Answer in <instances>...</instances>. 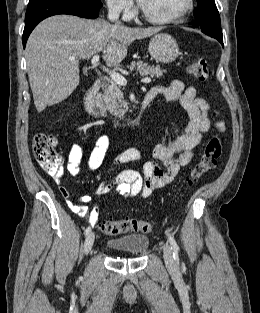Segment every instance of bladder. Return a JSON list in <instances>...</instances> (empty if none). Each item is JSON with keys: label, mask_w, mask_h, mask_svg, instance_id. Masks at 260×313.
<instances>
[{"label": "bladder", "mask_w": 260, "mask_h": 313, "mask_svg": "<svg viewBox=\"0 0 260 313\" xmlns=\"http://www.w3.org/2000/svg\"><path fill=\"white\" fill-rule=\"evenodd\" d=\"M149 244V238L142 234H130L108 240V248L128 252L133 256L142 255Z\"/></svg>", "instance_id": "31cf9c89"}]
</instances>
